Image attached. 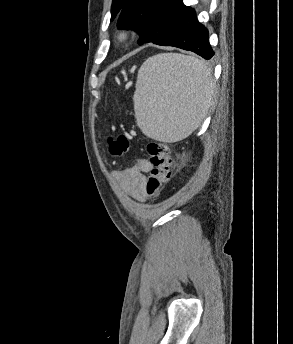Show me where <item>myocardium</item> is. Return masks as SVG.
<instances>
[{
	"instance_id": "myocardium-1",
	"label": "myocardium",
	"mask_w": 293,
	"mask_h": 344,
	"mask_svg": "<svg viewBox=\"0 0 293 344\" xmlns=\"http://www.w3.org/2000/svg\"><path fill=\"white\" fill-rule=\"evenodd\" d=\"M129 38V33L125 29H122L117 32V39L119 41H125Z\"/></svg>"
}]
</instances>
